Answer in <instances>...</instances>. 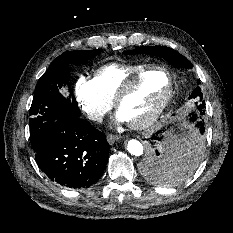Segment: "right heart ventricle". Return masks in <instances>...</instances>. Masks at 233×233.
<instances>
[{
    "instance_id": "1",
    "label": "right heart ventricle",
    "mask_w": 233,
    "mask_h": 233,
    "mask_svg": "<svg viewBox=\"0 0 233 233\" xmlns=\"http://www.w3.org/2000/svg\"><path fill=\"white\" fill-rule=\"evenodd\" d=\"M146 67L147 64H108L95 71L94 80L101 94L111 102L120 86Z\"/></svg>"
}]
</instances>
